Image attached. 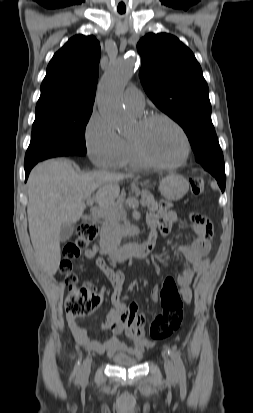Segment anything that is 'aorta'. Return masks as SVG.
<instances>
[{"label": "aorta", "instance_id": "aorta-1", "mask_svg": "<svg viewBox=\"0 0 253 413\" xmlns=\"http://www.w3.org/2000/svg\"><path fill=\"white\" fill-rule=\"evenodd\" d=\"M135 57L118 59L111 63L103 75L97 92L99 112L120 131H127L132 125L123 104V91L134 72Z\"/></svg>", "mask_w": 253, "mask_h": 413}]
</instances>
